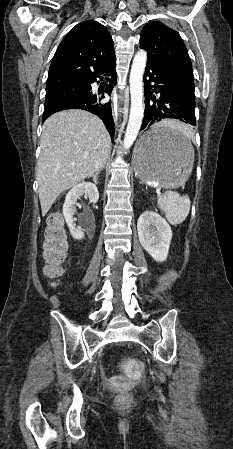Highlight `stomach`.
<instances>
[{
	"label": "stomach",
	"instance_id": "0dacf381",
	"mask_svg": "<svg viewBox=\"0 0 233 449\" xmlns=\"http://www.w3.org/2000/svg\"><path fill=\"white\" fill-rule=\"evenodd\" d=\"M194 151L185 133L158 123L146 128L133 154L136 175L145 183L178 187L188 176Z\"/></svg>",
	"mask_w": 233,
	"mask_h": 449
}]
</instances>
